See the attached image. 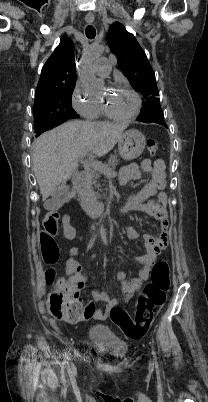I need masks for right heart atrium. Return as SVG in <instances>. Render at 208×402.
Returning a JSON list of instances; mask_svg holds the SVG:
<instances>
[{
  "mask_svg": "<svg viewBox=\"0 0 208 402\" xmlns=\"http://www.w3.org/2000/svg\"><path fill=\"white\" fill-rule=\"evenodd\" d=\"M71 101L73 107L88 119L95 120L100 109L99 98L88 91L80 82H76L72 88Z\"/></svg>",
  "mask_w": 208,
  "mask_h": 402,
  "instance_id": "obj_1",
  "label": "right heart atrium"
}]
</instances>
